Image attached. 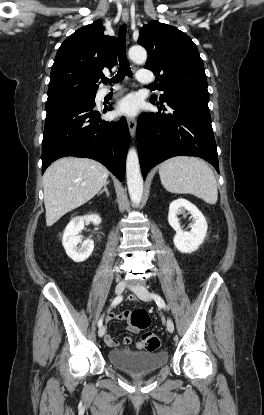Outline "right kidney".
Returning a JSON list of instances; mask_svg holds the SVG:
<instances>
[{
    "mask_svg": "<svg viewBox=\"0 0 264 415\" xmlns=\"http://www.w3.org/2000/svg\"><path fill=\"white\" fill-rule=\"evenodd\" d=\"M91 221L94 225H99L101 223V218L99 215L91 214L82 217L73 218L67 227L65 228L62 244L66 251V254L74 262H83L90 257L94 249V242L90 238L82 241L81 237L78 235L84 229V221ZM81 244L78 247V244Z\"/></svg>",
    "mask_w": 264,
    "mask_h": 415,
    "instance_id": "obj_1",
    "label": "right kidney"
}]
</instances>
